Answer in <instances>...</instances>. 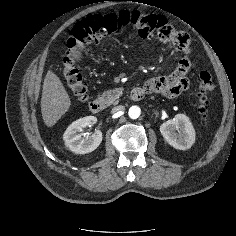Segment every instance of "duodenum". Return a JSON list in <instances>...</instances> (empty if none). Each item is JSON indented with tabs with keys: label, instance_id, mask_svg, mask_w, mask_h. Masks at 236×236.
I'll use <instances>...</instances> for the list:
<instances>
[{
	"label": "duodenum",
	"instance_id": "obj_1",
	"mask_svg": "<svg viewBox=\"0 0 236 236\" xmlns=\"http://www.w3.org/2000/svg\"><path fill=\"white\" fill-rule=\"evenodd\" d=\"M145 95V90L142 87H134L131 90L130 96L133 101H139L141 100ZM89 109L93 113H101L104 111L106 105L102 100L99 99H93L88 104Z\"/></svg>",
	"mask_w": 236,
	"mask_h": 236
}]
</instances>
